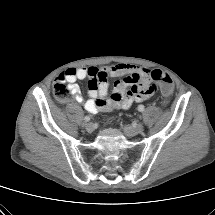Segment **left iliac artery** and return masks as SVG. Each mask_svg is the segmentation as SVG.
Returning <instances> with one entry per match:
<instances>
[{
    "label": "left iliac artery",
    "mask_w": 215,
    "mask_h": 215,
    "mask_svg": "<svg viewBox=\"0 0 215 215\" xmlns=\"http://www.w3.org/2000/svg\"><path fill=\"white\" fill-rule=\"evenodd\" d=\"M138 111L143 112L144 111V106L143 105H139L138 106Z\"/></svg>",
    "instance_id": "1"
}]
</instances>
